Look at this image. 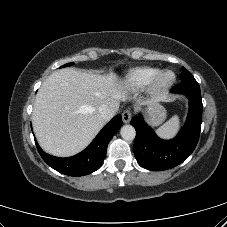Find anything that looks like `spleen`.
<instances>
[{
	"mask_svg": "<svg viewBox=\"0 0 227 227\" xmlns=\"http://www.w3.org/2000/svg\"><path fill=\"white\" fill-rule=\"evenodd\" d=\"M180 128L179 117L176 115L172 117L169 121L164 123L161 127H159L156 132L157 134L165 139L172 138L176 135Z\"/></svg>",
	"mask_w": 227,
	"mask_h": 227,
	"instance_id": "3e777b00",
	"label": "spleen"
}]
</instances>
